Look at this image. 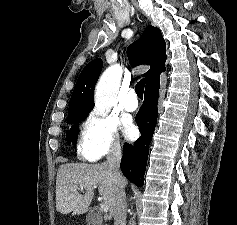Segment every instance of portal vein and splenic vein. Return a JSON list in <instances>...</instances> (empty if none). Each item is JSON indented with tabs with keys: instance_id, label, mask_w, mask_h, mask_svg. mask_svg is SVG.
Wrapping results in <instances>:
<instances>
[{
	"instance_id": "18ae733b",
	"label": "portal vein and splenic vein",
	"mask_w": 237,
	"mask_h": 225,
	"mask_svg": "<svg viewBox=\"0 0 237 225\" xmlns=\"http://www.w3.org/2000/svg\"><path fill=\"white\" fill-rule=\"evenodd\" d=\"M81 188L83 189L84 186H81ZM100 209H101V211H103V212H108V206H107V204H105V203H100Z\"/></svg>"
}]
</instances>
